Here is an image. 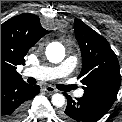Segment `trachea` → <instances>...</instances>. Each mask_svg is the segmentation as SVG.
<instances>
[{"mask_svg": "<svg viewBox=\"0 0 122 122\" xmlns=\"http://www.w3.org/2000/svg\"><path fill=\"white\" fill-rule=\"evenodd\" d=\"M29 83L35 84L36 81H35V79L30 78V79H29ZM57 88H58L59 90H61V91H66V92H68V91H70V90L75 89L76 86H75V85H69V86H66V85H58Z\"/></svg>", "mask_w": 122, "mask_h": 122, "instance_id": "3493384b", "label": "trachea"}]
</instances>
